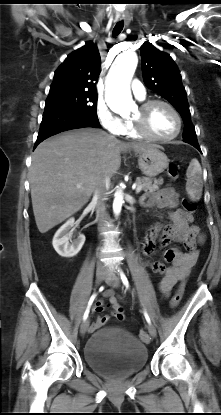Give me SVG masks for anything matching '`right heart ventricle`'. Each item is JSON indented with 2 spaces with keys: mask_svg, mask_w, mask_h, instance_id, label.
<instances>
[{
  "mask_svg": "<svg viewBox=\"0 0 221 415\" xmlns=\"http://www.w3.org/2000/svg\"><path fill=\"white\" fill-rule=\"evenodd\" d=\"M125 134L131 138H139L140 136L136 133L134 126L131 121L127 122V129Z\"/></svg>",
  "mask_w": 221,
  "mask_h": 415,
  "instance_id": "obj_1",
  "label": "right heart ventricle"
}]
</instances>
